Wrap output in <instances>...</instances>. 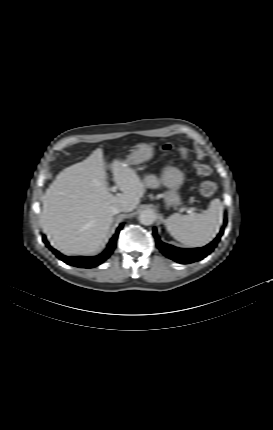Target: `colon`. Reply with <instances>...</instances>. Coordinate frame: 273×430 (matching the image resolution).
<instances>
[{"mask_svg": "<svg viewBox=\"0 0 273 430\" xmlns=\"http://www.w3.org/2000/svg\"><path fill=\"white\" fill-rule=\"evenodd\" d=\"M162 150L163 151H172L173 147L169 144H165L162 146ZM180 152V154L184 157V158H188V151L184 148H181L178 150ZM193 167L196 171V173L200 176H208L211 173V169L209 166L205 165V164H200V163H193ZM199 191L200 193L205 196V197H210L212 196L215 191H216V184L212 181H203L200 185H199Z\"/></svg>", "mask_w": 273, "mask_h": 430, "instance_id": "colon-1", "label": "colon"}]
</instances>
